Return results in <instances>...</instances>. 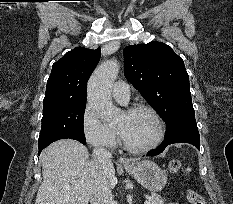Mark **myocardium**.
Listing matches in <instances>:
<instances>
[{
    "label": "myocardium",
    "mask_w": 233,
    "mask_h": 204,
    "mask_svg": "<svg viewBox=\"0 0 233 204\" xmlns=\"http://www.w3.org/2000/svg\"><path fill=\"white\" fill-rule=\"evenodd\" d=\"M140 111L148 112L149 114L152 115V117L154 118V120H155V122L157 124V136L148 145L134 146V145H131L126 140L123 133L118 128H116L123 147L127 151H130L132 153H146V152H149V151L157 148L162 143V141H163V139L165 137L164 121H163L161 115L154 108H152V107H150L148 105H144V104H136V105H132V106L128 107L127 109H125L124 112L127 113V114H133V113L140 112Z\"/></svg>",
    "instance_id": "1"
}]
</instances>
